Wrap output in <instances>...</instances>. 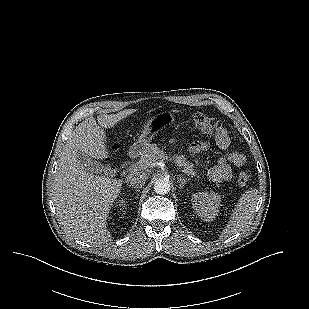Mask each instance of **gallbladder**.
<instances>
[{"mask_svg": "<svg viewBox=\"0 0 309 309\" xmlns=\"http://www.w3.org/2000/svg\"><path fill=\"white\" fill-rule=\"evenodd\" d=\"M77 160L79 164L89 173H108L109 169L102 166L99 162L93 161L83 152H77Z\"/></svg>", "mask_w": 309, "mask_h": 309, "instance_id": "1", "label": "gallbladder"}]
</instances>
